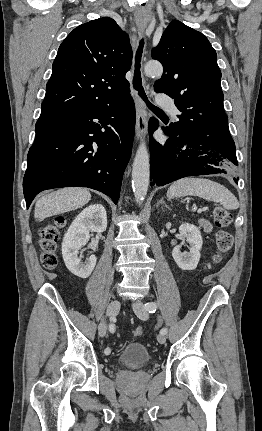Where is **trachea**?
I'll return each instance as SVG.
<instances>
[{"mask_svg":"<svg viewBox=\"0 0 262 431\" xmlns=\"http://www.w3.org/2000/svg\"><path fill=\"white\" fill-rule=\"evenodd\" d=\"M143 46H144V41L141 40L137 53H136V57H135V72H134V79H133V85L134 88L136 90H138V94L142 97V99L146 102L147 106L155 113L158 114H163V111L161 109H159L158 107L154 106L153 104H151L145 94L144 88L142 86V78H141V72H140V61H141V57H142V52H143Z\"/></svg>","mask_w":262,"mask_h":431,"instance_id":"obj_1","label":"trachea"}]
</instances>
